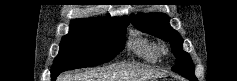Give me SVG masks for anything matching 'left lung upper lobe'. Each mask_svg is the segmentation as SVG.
Segmentation results:
<instances>
[{
    "mask_svg": "<svg viewBox=\"0 0 237 81\" xmlns=\"http://www.w3.org/2000/svg\"><path fill=\"white\" fill-rule=\"evenodd\" d=\"M131 21L137 29L170 42L171 50L177 60L172 70L186 78H192L197 81L192 59L190 55L182 49L183 39L177 31L171 28L167 15L160 13L138 14L132 15Z\"/></svg>",
    "mask_w": 237,
    "mask_h": 81,
    "instance_id": "5c2ea615",
    "label": "left lung upper lobe"
}]
</instances>
